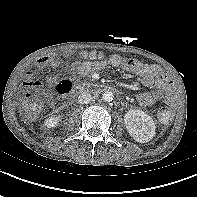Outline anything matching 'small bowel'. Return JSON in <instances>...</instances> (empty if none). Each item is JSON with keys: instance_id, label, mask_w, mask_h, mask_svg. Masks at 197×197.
I'll return each instance as SVG.
<instances>
[{"instance_id": "c3829d8e", "label": "small bowel", "mask_w": 197, "mask_h": 197, "mask_svg": "<svg viewBox=\"0 0 197 197\" xmlns=\"http://www.w3.org/2000/svg\"><path fill=\"white\" fill-rule=\"evenodd\" d=\"M97 52L99 51H85L82 53L84 57L83 61L73 62L65 66L62 65L61 59L57 56L53 55L40 57L37 60L35 68L31 72V75H34L38 69L46 66L54 69L60 68L68 74L78 72L80 75H88L94 70L102 69L108 63L114 67L123 68L129 72L138 75L141 79V83L145 87L154 88V90L152 91L141 92L137 96V100L141 106L150 107L158 101H169L172 99L174 94V87L172 85V82L169 76L165 74L158 65L145 64L138 60L124 58L117 54L111 55L107 61L98 60L96 57H94V54ZM68 55H71V53H69ZM55 81V77L49 78L50 83H54ZM32 82L39 81H31L28 83V85Z\"/></svg>"}]
</instances>
